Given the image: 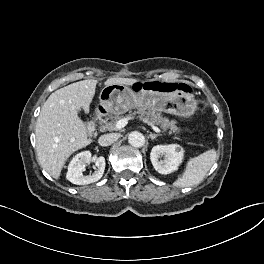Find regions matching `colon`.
<instances>
[{
    "label": "colon",
    "instance_id": "colon-1",
    "mask_svg": "<svg viewBox=\"0 0 264 264\" xmlns=\"http://www.w3.org/2000/svg\"><path fill=\"white\" fill-rule=\"evenodd\" d=\"M139 88H141V85L138 86ZM154 88L156 90H160V91H164V92H170L173 91L177 88V86H175L172 83H158L154 85ZM179 89L184 90L185 88L183 86H179Z\"/></svg>",
    "mask_w": 264,
    "mask_h": 264
}]
</instances>
